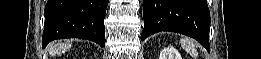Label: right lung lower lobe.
<instances>
[{"label":"right lung lower lobe","instance_id":"right-lung-lower-lobe-1","mask_svg":"<svg viewBox=\"0 0 261 59\" xmlns=\"http://www.w3.org/2000/svg\"><path fill=\"white\" fill-rule=\"evenodd\" d=\"M109 0H48L42 45L56 39L82 38L105 46L104 18Z\"/></svg>","mask_w":261,"mask_h":59}]
</instances>
